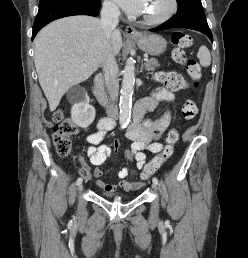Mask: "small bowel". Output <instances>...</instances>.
Masks as SVG:
<instances>
[{
  "mask_svg": "<svg viewBox=\"0 0 248 258\" xmlns=\"http://www.w3.org/2000/svg\"><path fill=\"white\" fill-rule=\"evenodd\" d=\"M171 74L181 78L175 72ZM173 94L166 89H159L152 97L141 100L135 111L133 122L126 130V136L131 141L130 149L133 151L134 159L138 169H143L148 162L145 150L152 154H158L163 149V144L160 139L164 135L168 123L169 116L165 115L161 118L150 121L143 120L142 116L147 111H152L160 101H171ZM114 127V123L110 119H101L98 122V131L87 136L89 147L87 153L90 162L94 166L102 165L111 154V149L108 145L103 144V140L109 130ZM133 174V169L124 168L119 172V177L122 179L118 184H109L100 180L101 171L95 170L94 176L96 178L95 184L97 187L107 191L113 192L117 187L125 191H132L138 188V184L123 180L128 174Z\"/></svg>",
  "mask_w": 248,
  "mask_h": 258,
  "instance_id": "obj_1",
  "label": "small bowel"
}]
</instances>
